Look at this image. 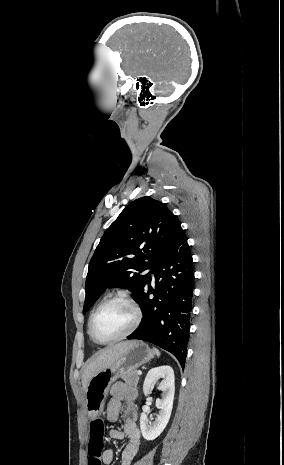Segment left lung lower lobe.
I'll list each match as a JSON object with an SVG mask.
<instances>
[{
  "label": "left lung lower lobe",
  "mask_w": 284,
  "mask_h": 465,
  "mask_svg": "<svg viewBox=\"0 0 284 465\" xmlns=\"http://www.w3.org/2000/svg\"><path fill=\"white\" fill-rule=\"evenodd\" d=\"M190 247L180 227L164 255L155 263L137 302L143 311L140 326L127 338L151 342L185 364L193 309L194 273ZM154 297H151V295Z\"/></svg>",
  "instance_id": "left-lung-lower-lobe-1"
}]
</instances>
